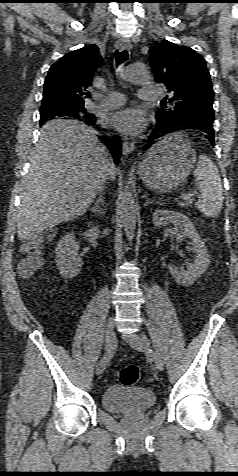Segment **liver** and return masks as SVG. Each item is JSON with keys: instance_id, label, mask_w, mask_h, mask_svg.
<instances>
[{"instance_id": "obj_1", "label": "liver", "mask_w": 238, "mask_h": 476, "mask_svg": "<svg viewBox=\"0 0 238 476\" xmlns=\"http://www.w3.org/2000/svg\"><path fill=\"white\" fill-rule=\"evenodd\" d=\"M96 131L78 120H52L30 153L22 182L17 233L21 241L84 214L104 187L116 178L115 165Z\"/></svg>"}]
</instances>
